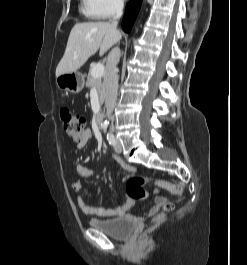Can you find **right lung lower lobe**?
Segmentation results:
<instances>
[{
    "instance_id": "obj_1",
    "label": "right lung lower lobe",
    "mask_w": 247,
    "mask_h": 265,
    "mask_svg": "<svg viewBox=\"0 0 247 265\" xmlns=\"http://www.w3.org/2000/svg\"><path fill=\"white\" fill-rule=\"evenodd\" d=\"M141 0H131L125 9V15L122 21V28L125 32L129 33L135 18L140 9Z\"/></svg>"
}]
</instances>
